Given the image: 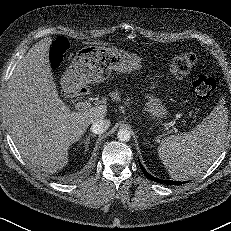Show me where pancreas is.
I'll use <instances>...</instances> for the list:
<instances>
[{
    "label": "pancreas",
    "instance_id": "cf45deb5",
    "mask_svg": "<svg viewBox=\"0 0 231 231\" xmlns=\"http://www.w3.org/2000/svg\"><path fill=\"white\" fill-rule=\"evenodd\" d=\"M110 96L112 97V99L116 100V101H120L121 98H120V93H118L117 91L116 92H112L110 94ZM129 99H127V101L124 102L125 105H129Z\"/></svg>",
    "mask_w": 231,
    "mask_h": 231
}]
</instances>
